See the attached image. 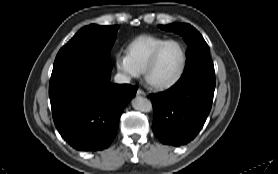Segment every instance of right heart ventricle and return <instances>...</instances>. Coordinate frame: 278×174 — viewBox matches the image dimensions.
<instances>
[{"label": "right heart ventricle", "instance_id": "e07e8e85", "mask_svg": "<svg viewBox=\"0 0 278 174\" xmlns=\"http://www.w3.org/2000/svg\"><path fill=\"white\" fill-rule=\"evenodd\" d=\"M164 41L153 36H141L128 46L127 56L133 66L139 72H143L153 51Z\"/></svg>", "mask_w": 278, "mask_h": 174}]
</instances>
